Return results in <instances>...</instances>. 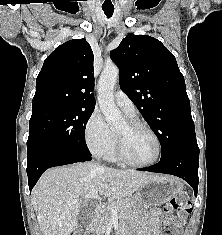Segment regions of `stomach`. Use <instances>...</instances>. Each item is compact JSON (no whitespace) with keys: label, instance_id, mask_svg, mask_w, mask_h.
<instances>
[{"label":"stomach","instance_id":"stomach-1","mask_svg":"<svg viewBox=\"0 0 222 235\" xmlns=\"http://www.w3.org/2000/svg\"><path fill=\"white\" fill-rule=\"evenodd\" d=\"M181 190V183L171 176H158L148 181L136 194L130 197L134 202V208L147 206H159L168 202Z\"/></svg>","mask_w":222,"mask_h":235}]
</instances>
